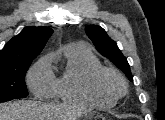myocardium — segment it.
Segmentation results:
<instances>
[{
    "mask_svg": "<svg viewBox=\"0 0 165 120\" xmlns=\"http://www.w3.org/2000/svg\"><path fill=\"white\" fill-rule=\"evenodd\" d=\"M105 75H111L119 82L120 89L118 91H109L102 87L101 80ZM88 85L93 95L111 101L118 100L127 91V83L123 75L117 69L108 66H100L96 68L90 74Z\"/></svg>",
    "mask_w": 165,
    "mask_h": 120,
    "instance_id": "myocardium-1",
    "label": "myocardium"
}]
</instances>
